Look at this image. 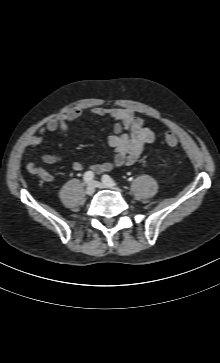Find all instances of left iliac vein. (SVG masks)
<instances>
[{
    "mask_svg": "<svg viewBox=\"0 0 220 363\" xmlns=\"http://www.w3.org/2000/svg\"><path fill=\"white\" fill-rule=\"evenodd\" d=\"M93 185L96 187V188H100V189H114L115 186H110V185H107L103 182H100V181H93Z\"/></svg>",
    "mask_w": 220,
    "mask_h": 363,
    "instance_id": "obj_1",
    "label": "left iliac vein"
}]
</instances>
